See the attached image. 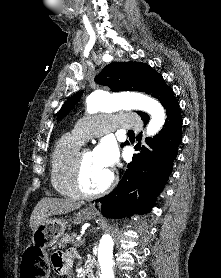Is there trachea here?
Returning <instances> with one entry per match:
<instances>
[{
  "instance_id": "trachea-1",
  "label": "trachea",
  "mask_w": 221,
  "mask_h": 278,
  "mask_svg": "<svg viewBox=\"0 0 221 278\" xmlns=\"http://www.w3.org/2000/svg\"><path fill=\"white\" fill-rule=\"evenodd\" d=\"M128 133H129V134H133L134 132H133L132 130H129Z\"/></svg>"
}]
</instances>
